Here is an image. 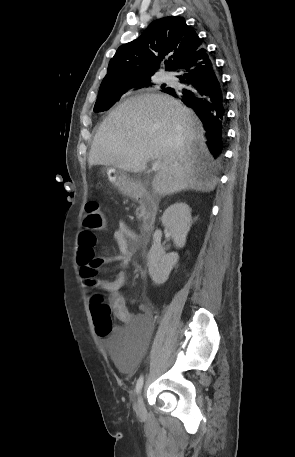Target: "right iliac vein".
Wrapping results in <instances>:
<instances>
[{
	"label": "right iliac vein",
	"mask_w": 295,
	"mask_h": 457,
	"mask_svg": "<svg viewBox=\"0 0 295 457\" xmlns=\"http://www.w3.org/2000/svg\"><path fill=\"white\" fill-rule=\"evenodd\" d=\"M136 409H137L138 413L144 412L145 407H144V402H143V398L141 395H139L136 400Z\"/></svg>",
	"instance_id": "obj_1"
}]
</instances>
